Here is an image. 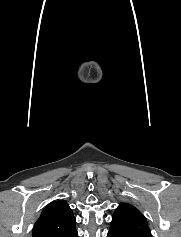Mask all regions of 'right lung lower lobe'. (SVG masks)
<instances>
[{"label": "right lung lower lobe", "instance_id": "1", "mask_svg": "<svg viewBox=\"0 0 181 237\" xmlns=\"http://www.w3.org/2000/svg\"><path fill=\"white\" fill-rule=\"evenodd\" d=\"M73 237H78V234H77V232L75 233V235H73Z\"/></svg>", "mask_w": 181, "mask_h": 237}]
</instances>
